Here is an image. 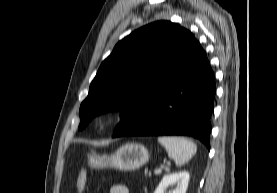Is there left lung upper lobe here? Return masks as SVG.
Masks as SVG:
<instances>
[{
    "instance_id": "left-lung-upper-lobe-1",
    "label": "left lung upper lobe",
    "mask_w": 277,
    "mask_h": 193,
    "mask_svg": "<svg viewBox=\"0 0 277 193\" xmlns=\"http://www.w3.org/2000/svg\"><path fill=\"white\" fill-rule=\"evenodd\" d=\"M193 34L169 21H157L116 44L101 64L79 110L83 129L105 111L124 113L121 128L188 59L197 44Z\"/></svg>"
}]
</instances>
